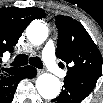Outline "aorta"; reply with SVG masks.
<instances>
[{
  "instance_id": "1",
  "label": "aorta",
  "mask_w": 103,
  "mask_h": 103,
  "mask_svg": "<svg viewBox=\"0 0 103 103\" xmlns=\"http://www.w3.org/2000/svg\"><path fill=\"white\" fill-rule=\"evenodd\" d=\"M28 40L34 45H41L48 37L45 24L34 21L26 29ZM36 88L44 99H54L60 93V81L52 74H42L36 80Z\"/></svg>"
}]
</instances>
